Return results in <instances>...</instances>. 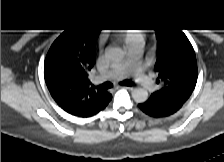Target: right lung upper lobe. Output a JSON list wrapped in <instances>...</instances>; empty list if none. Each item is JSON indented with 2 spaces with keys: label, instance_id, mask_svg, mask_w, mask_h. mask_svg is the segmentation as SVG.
<instances>
[{
  "label": "right lung upper lobe",
  "instance_id": "cb5924a9",
  "mask_svg": "<svg viewBox=\"0 0 224 162\" xmlns=\"http://www.w3.org/2000/svg\"><path fill=\"white\" fill-rule=\"evenodd\" d=\"M100 30L73 27L52 44L44 63V78L51 96L66 112L89 117L103 110L112 98L90 86L88 72L95 63Z\"/></svg>",
  "mask_w": 224,
  "mask_h": 162
}]
</instances>
